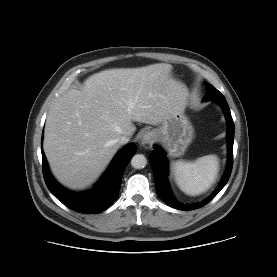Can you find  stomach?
<instances>
[{
	"instance_id": "obj_1",
	"label": "stomach",
	"mask_w": 277,
	"mask_h": 277,
	"mask_svg": "<svg viewBox=\"0 0 277 277\" xmlns=\"http://www.w3.org/2000/svg\"><path fill=\"white\" fill-rule=\"evenodd\" d=\"M184 109L182 107L174 109L157 129L151 131L172 157L183 155L194 136L193 127L185 116Z\"/></svg>"
}]
</instances>
